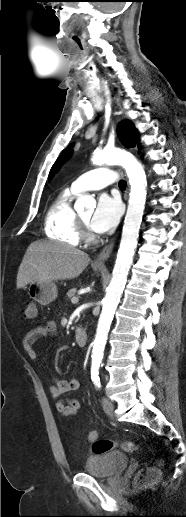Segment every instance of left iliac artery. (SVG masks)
<instances>
[{"label": "left iliac artery", "instance_id": "obj_1", "mask_svg": "<svg viewBox=\"0 0 186 517\" xmlns=\"http://www.w3.org/2000/svg\"><path fill=\"white\" fill-rule=\"evenodd\" d=\"M91 379L97 388L101 387L98 370H91Z\"/></svg>", "mask_w": 186, "mask_h": 517}]
</instances>
